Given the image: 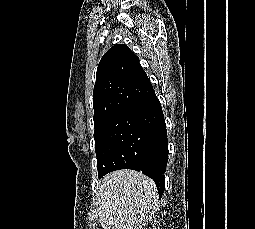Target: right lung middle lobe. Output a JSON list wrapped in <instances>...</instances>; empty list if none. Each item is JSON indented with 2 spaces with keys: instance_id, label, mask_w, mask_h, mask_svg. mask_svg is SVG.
Here are the masks:
<instances>
[{
  "instance_id": "right-lung-middle-lobe-1",
  "label": "right lung middle lobe",
  "mask_w": 255,
  "mask_h": 229,
  "mask_svg": "<svg viewBox=\"0 0 255 229\" xmlns=\"http://www.w3.org/2000/svg\"><path fill=\"white\" fill-rule=\"evenodd\" d=\"M154 132L142 120L118 113L94 130L98 177L140 163Z\"/></svg>"
}]
</instances>
